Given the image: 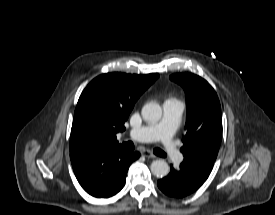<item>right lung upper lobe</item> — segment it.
<instances>
[{
  "label": "right lung upper lobe",
  "instance_id": "cb5924a9",
  "mask_svg": "<svg viewBox=\"0 0 275 215\" xmlns=\"http://www.w3.org/2000/svg\"><path fill=\"white\" fill-rule=\"evenodd\" d=\"M158 74L107 73L93 79L82 92L74 114L70 137L71 162L97 147L119 145L116 133L140 95Z\"/></svg>",
  "mask_w": 275,
  "mask_h": 215
}]
</instances>
